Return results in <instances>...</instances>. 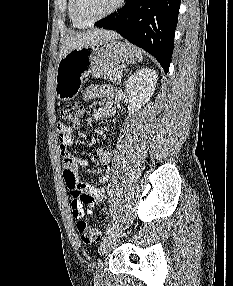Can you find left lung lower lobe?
<instances>
[{
  "label": "left lung lower lobe",
  "instance_id": "1",
  "mask_svg": "<svg viewBox=\"0 0 233 286\" xmlns=\"http://www.w3.org/2000/svg\"><path fill=\"white\" fill-rule=\"evenodd\" d=\"M180 0H126L123 8L95 23L116 30L153 55L168 72L174 47Z\"/></svg>",
  "mask_w": 233,
  "mask_h": 286
}]
</instances>
